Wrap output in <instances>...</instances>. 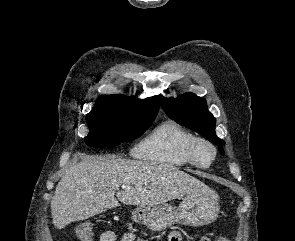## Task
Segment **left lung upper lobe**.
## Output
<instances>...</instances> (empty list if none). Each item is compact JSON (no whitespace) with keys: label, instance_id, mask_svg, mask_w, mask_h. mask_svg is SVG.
Here are the masks:
<instances>
[{"label":"left lung upper lobe","instance_id":"obj_1","mask_svg":"<svg viewBox=\"0 0 295 241\" xmlns=\"http://www.w3.org/2000/svg\"><path fill=\"white\" fill-rule=\"evenodd\" d=\"M160 103L166 114L177 123L184 125L197 133L201 134L207 140L218 145H224L225 142L215 134V118L210 114L206 107V101L193 93L174 98H165L160 95ZM219 151L224 154L220 146Z\"/></svg>","mask_w":295,"mask_h":241}]
</instances>
